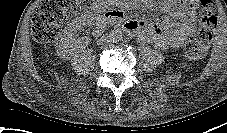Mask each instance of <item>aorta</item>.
<instances>
[{
    "label": "aorta",
    "mask_w": 227,
    "mask_h": 133,
    "mask_svg": "<svg viewBox=\"0 0 227 133\" xmlns=\"http://www.w3.org/2000/svg\"><path fill=\"white\" fill-rule=\"evenodd\" d=\"M122 39V34L121 32L119 31H114L112 34H111V40L113 42H118Z\"/></svg>",
    "instance_id": "obj_1"
}]
</instances>
